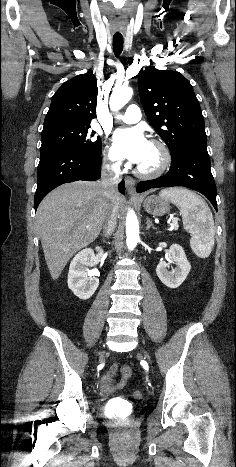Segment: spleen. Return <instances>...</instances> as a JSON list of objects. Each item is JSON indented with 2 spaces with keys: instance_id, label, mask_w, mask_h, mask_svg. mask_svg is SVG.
I'll use <instances>...</instances> for the list:
<instances>
[{
  "instance_id": "obj_1",
  "label": "spleen",
  "mask_w": 236,
  "mask_h": 467,
  "mask_svg": "<svg viewBox=\"0 0 236 467\" xmlns=\"http://www.w3.org/2000/svg\"><path fill=\"white\" fill-rule=\"evenodd\" d=\"M159 195L179 208L184 229L192 234L190 246L193 252L200 258H207L214 246L215 226L205 200L185 188L164 189Z\"/></svg>"
}]
</instances>
